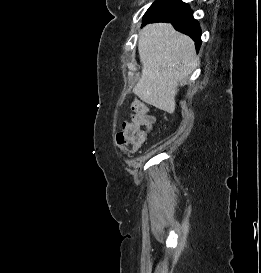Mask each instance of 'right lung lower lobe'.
Masks as SVG:
<instances>
[{
  "instance_id": "98d812e1",
  "label": "right lung lower lobe",
  "mask_w": 261,
  "mask_h": 273,
  "mask_svg": "<svg viewBox=\"0 0 261 273\" xmlns=\"http://www.w3.org/2000/svg\"><path fill=\"white\" fill-rule=\"evenodd\" d=\"M170 10L158 16L143 18V25L153 22H169L174 28L190 36L199 50L201 45V30L198 22L193 18L192 10L181 0H168Z\"/></svg>"
}]
</instances>
